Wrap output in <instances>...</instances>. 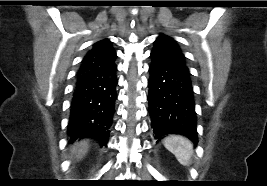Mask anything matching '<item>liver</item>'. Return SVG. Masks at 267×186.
I'll return each instance as SVG.
<instances>
[{
	"label": "liver",
	"mask_w": 267,
	"mask_h": 186,
	"mask_svg": "<svg viewBox=\"0 0 267 186\" xmlns=\"http://www.w3.org/2000/svg\"><path fill=\"white\" fill-rule=\"evenodd\" d=\"M89 143L87 140H81L80 142L74 144L71 148V152L77 154L78 158H82L88 151Z\"/></svg>",
	"instance_id": "liver-1"
}]
</instances>
